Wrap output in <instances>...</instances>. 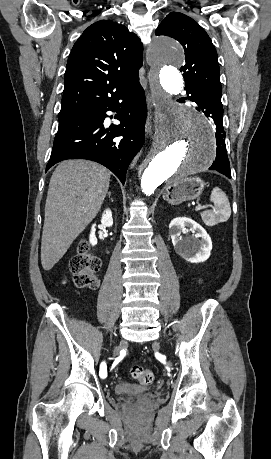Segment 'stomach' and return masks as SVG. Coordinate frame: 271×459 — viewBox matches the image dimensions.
I'll return each mask as SVG.
<instances>
[{
    "instance_id": "1",
    "label": "stomach",
    "mask_w": 271,
    "mask_h": 459,
    "mask_svg": "<svg viewBox=\"0 0 271 459\" xmlns=\"http://www.w3.org/2000/svg\"><path fill=\"white\" fill-rule=\"evenodd\" d=\"M204 186L201 178H178L166 186L163 198L168 204L177 206V204H182L187 200L199 198Z\"/></svg>"
}]
</instances>
